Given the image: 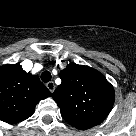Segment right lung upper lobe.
<instances>
[{
    "mask_svg": "<svg viewBox=\"0 0 136 136\" xmlns=\"http://www.w3.org/2000/svg\"><path fill=\"white\" fill-rule=\"evenodd\" d=\"M51 92L19 64L0 66V119L14 124L29 118Z\"/></svg>",
    "mask_w": 136,
    "mask_h": 136,
    "instance_id": "right-lung-upper-lobe-1",
    "label": "right lung upper lobe"
}]
</instances>
